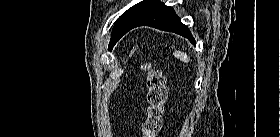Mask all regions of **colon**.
Returning a JSON list of instances; mask_svg holds the SVG:
<instances>
[{"label": "colon", "instance_id": "obj_1", "mask_svg": "<svg viewBox=\"0 0 280 137\" xmlns=\"http://www.w3.org/2000/svg\"><path fill=\"white\" fill-rule=\"evenodd\" d=\"M142 69L146 73L147 108L143 122V137H157L162 125L163 105L167 90L162 71L151 63H144Z\"/></svg>", "mask_w": 280, "mask_h": 137}]
</instances>
